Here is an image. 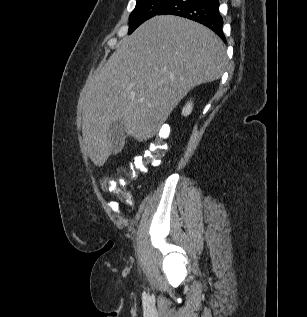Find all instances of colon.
Here are the masks:
<instances>
[{
	"mask_svg": "<svg viewBox=\"0 0 307 317\" xmlns=\"http://www.w3.org/2000/svg\"><path fill=\"white\" fill-rule=\"evenodd\" d=\"M170 129L168 125H162L155 133L152 142L143 155L136 156L133 159L130 169L126 173L127 179H134L138 174L147 173L149 165H158L161 158L168 150V138ZM102 188L110 193L126 199V193L122 191L116 180L112 176H102L100 179Z\"/></svg>",
	"mask_w": 307,
	"mask_h": 317,
	"instance_id": "colon-1",
	"label": "colon"
}]
</instances>
